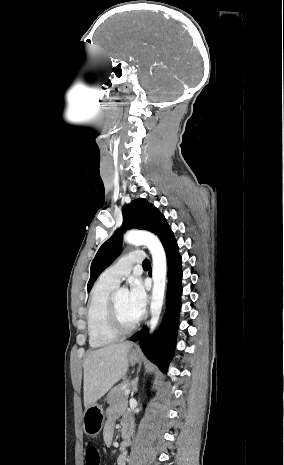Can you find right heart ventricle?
I'll use <instances>...</instances> for the list:
<instances>
[{
	"instance_id": "obj_1",
	"label": "right heart ventricle",
	"mask_w": 284,
	"mask_h": 465,
	"mask_svg": "<svg viewBox=\"0 0 284 465\" xmlns=\"http://www.w3.org/2000/svg\"><path fill=\"white\" fill-rule=\"evenodd\" d=\"M115 286L99 279L90 291L85 314L90 346H110L117 340L106 325L110 294Z\"/></svg>"
}]
</instances>
